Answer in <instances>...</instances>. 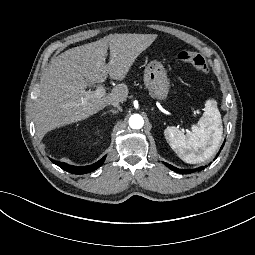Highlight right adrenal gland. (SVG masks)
<instances>
[{"label": "right adrenal gland", "instance_id": "2a0ac1e0", "mask_svg": "<svg viewBox=\"0 0 255 255\" xmlns=\"http://www.w3.org/2000/svg\"><path fill=\"white\" fill-rule=\"evenodd\" d=\"M110 112H111L112 114H114L116 111H115V110H111ZM107 113H108V112L102 114L101 117L105 116Z\"/></svg>", "mask_w": 255, "mask_h": 255}]
</instances>
